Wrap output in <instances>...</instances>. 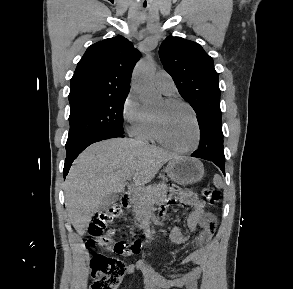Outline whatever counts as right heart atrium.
<instances>
[{
	"instance_id": "right-heart-atrium-1",
	"label": "right heart atrium",
	"mask_w": 293,
	"mask_h": 289,
	"mask_svg": "<svg viewBox=\"0 0 293 289\" xmlns=\"http://www.w3.org/2000/svg\"><path fill=\"white\" fill-rule=\"evenodd\" d=\"M121 115L127 132L131 135H137L145 121L146 110L133 92H130L125 98L121 109Z\"/></svg>"
}]
</instances>
